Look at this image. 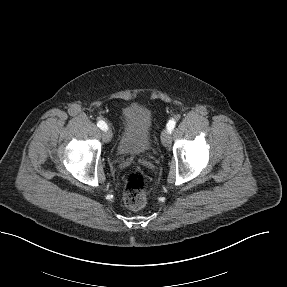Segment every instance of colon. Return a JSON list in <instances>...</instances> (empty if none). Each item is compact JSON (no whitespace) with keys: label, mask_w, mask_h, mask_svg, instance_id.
Wrapping results in <instances>:
<instances>
[{"label":"colon","mask_w":287,"mask_h":287,"mask_svg":"<svg viewBox=\"0 0 287 287\" xmlns=\"http://www.w3.org/2000/svg\"><path fill=\"white\" fill-rule=\"evenodd\" d=\"M147 199V178L145 174L138 170H131L126 177L124 187V201L131 209L142 208Z\"/></svg>","instance_id":"obj_1"}]
</instances>
